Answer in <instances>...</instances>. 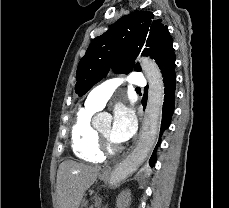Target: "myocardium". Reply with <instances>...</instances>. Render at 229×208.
<instances>
[{
	"label": "myocardium",
	"mask_w": 229,
	"mask_h": 208,
	"mask_svg": "<svg viewBox=\"0 0 229 208\" xmlns=\"http://www.w3.org/2000/svg\"><path fill=\"white\" fill-rule=\"evenodd\" d=\"M95 131L98 137L100 138V140L102 141L101 143H98V148H99L98 152L99 153H109V151H113L118 148L116 143H114L112 140L102 135L98 130H95Z\"/></svg>",
	"instance_id": "1"
}]
</instances>
